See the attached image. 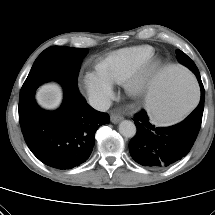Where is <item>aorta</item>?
I'll use <instances>...</instances> for the list:
<instances>
[{
	"instance_id": "aorta-1",
	"label": "aorta",
	"mask_w": 215,
	"mask_h": 215,
	"mask_svg": "<svg viewBox=\"0 0 215 215\" xmlns=\"http://www.w3.org/2000/svg\"><path fill=\"white\" fill-rule=\"evenodd\" d=\"M119 132L124 137L132 138L136 134V126L130 120H123L119 124Z\"/></svg>"
}]
</instances>
